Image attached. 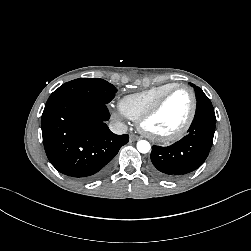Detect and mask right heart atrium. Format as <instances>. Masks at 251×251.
Returning <instances> with one entry per match:
<instances>
[{
    "mask_svg": "<svg viewBox=\"0 0 251 251\" xmlns=\"http://www.w3.org/2000/svg\"><path fill=\"white\" fill-rule=\"evenodd\" d=\"M112 114L116 117V118H120L121 117V114L116 112V111H113Z\"/></svg>",
    "mask_w": 251,
    "mask_h": 251,
    "instance_id": "obj_1",
    "label": "right heart atrium"
}]
</instances>
